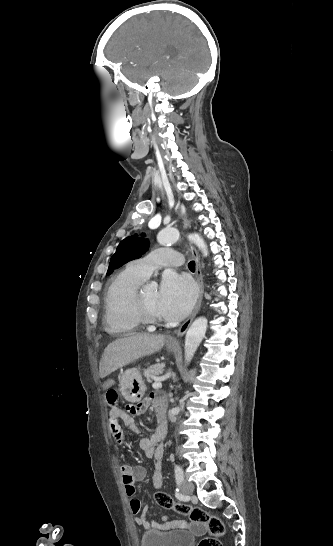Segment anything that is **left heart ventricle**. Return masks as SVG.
Wrapping results in <instances>:
<instances>
[{
  "instance_id": "left-heart-ventricle-1",
  "label": "left heart ventricle",
  "mask_w": 333,
  "mask_h": 546,
  "mask_svg": "<svg viewBox=\"0 0 333 546\" xmlns=\"http://www.w3.org/2000/svg\"><path fill=\"white\" fill-rule=\"evenodd\" d=\"M142 300L145 307L154 315L161 316L158 311V291L155 288H145L142 291Z\"/></svg>"
}]
</instances>
